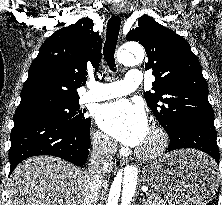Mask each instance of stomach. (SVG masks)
<instances>
[{"mask_svg":"<svg viewBox=\"0 0 222 205\" xmlns=\"http://www.w3.org/2000/svg\"><path fill=\"white\" fill-rule=\"evenodd\" d=\"M145 182L162 192L169 205H206L218 188L212 160L195 150H180L147 167Z\"/></svg>","mask_w":222,"mask_h":205,"instance_id":"obj_1","label":"stomach"}]
</instances>
